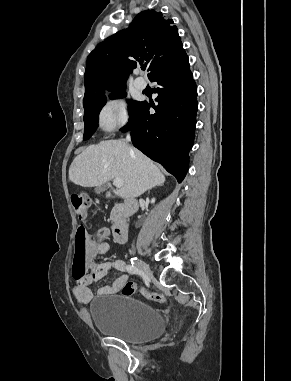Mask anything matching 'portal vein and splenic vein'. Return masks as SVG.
I'll list each match as a JSON object with an SVG mask.
<instances>
[{
	"label": "portal vein and splenic vein",
	"mask_w": 291,
	"mask_h": 381,
	"mask_svg": "<svg viewBox=\"0 0 291 381\" xmlns=\"http://www.w3.org/2000/svg\"><path fill=\"white\" fill-rule=\"evenodd\" d=\"M113 184H114L117 188H121V187L123 186V180L120 179V178H115Z\"/></svg>",
	"instance_id": "18ae733b"
}]
</instances>
